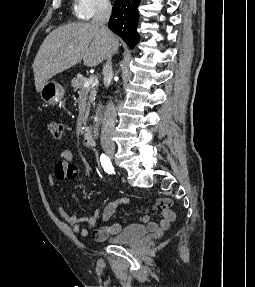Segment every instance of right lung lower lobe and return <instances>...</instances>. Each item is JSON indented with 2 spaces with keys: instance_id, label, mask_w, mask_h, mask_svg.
Here are the masks:
<instances>
[{
  "instance_id": "1",
  "label": "right lung lower lobe",
  "mask_w": 255,
  "mask_h": 287,
  "mask_svg": "<svg viewBox=\"0 0 255 287\" xmlns=\"http://www.w3.org/2000/svg\"><path fill=\"white\" fill-rule=\"evenodd\" d=\"M141 0H116L112 8L108 27L119 35L131 49L139 41L136 27L138 22L137 7Z\"/></svg>"
}]
</instances>
